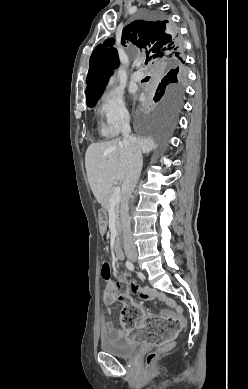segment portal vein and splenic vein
Returning a JSON list of instances; mask_svg holds the SVG:
<instances>
[{
	"label": "portal vein and splenic vein",
	"instance_id": "18ae733b",
	"mask_svg": "<svg viewBox=\"0 0 248 389\" xmlns=\"http://www.w3.org/2000/svg\"><path fill=\"white\" fill-rule=\"evenodd\" d=\"M121 199V189L120 187H116L113 191V194L110 198V205L117 204Z\"/></svg>",
	"mask_w": 248,
	"mask_h": 389
}]
</instances>
